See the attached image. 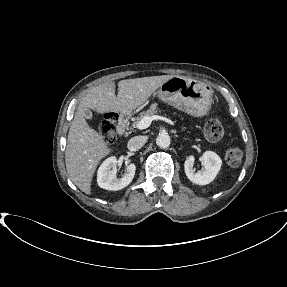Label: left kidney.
<instances>
[{"label":"left kidney","mask_w":287,"mask_h":287,"mask_svg":"<svg viewBox=\"0 0 287 287\" xmlns=\"http://www.w3.org/2000/svg\"><path fill=\"white\" fill-rule=\"evenodd\" d=\"M195 157L190 155L184 162V170L188 179L198 185H207L212 182L218 174L222 160L212 151H206L202 155L204 171L195 173L193 169Z\"/></svg>","instance_id":"5707ae66"}]
</instances>
